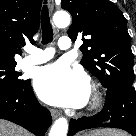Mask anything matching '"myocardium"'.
Returning <instances> with one entry per match:
<instances>
[{"label": "myocardium", "instance_id": "f54148a6", "mask_svg": "<svg viewBox=\"0 0 136 136\" xmlns=\"http://www.w3.org/2000/svg\"><path fill=\"white\" fill-rule=\"evenodd\" d=\"M102 92L96 84L90 85V95L88 100V109H97L102 103Z\"/></svg>", "mask_w": 136, "mask_h": 136}]
</instances>
